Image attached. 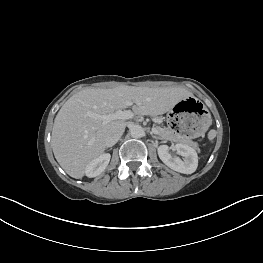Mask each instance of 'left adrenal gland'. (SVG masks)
<instances>
[{"label": "left adrenal gland", "mask_w": 263, "mask_h": 263, "mask_svg": "<svg viewBox=\"0 0 263 263\" xmlns=\"http://www.w3.org/2000/svg\"><path fill=\"white\" fill-rule=\"evenodd\" d=\"M151 136L155 139H160L159 137H157L156 135H154L152 132H150Z\"/></svg>", "instance_id": "a2214340"}]
</instances>
